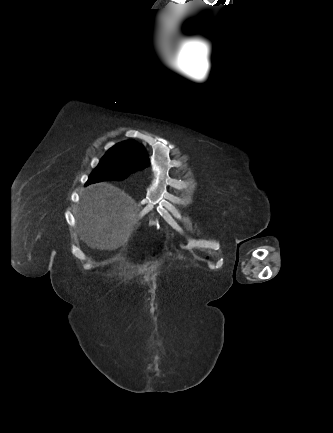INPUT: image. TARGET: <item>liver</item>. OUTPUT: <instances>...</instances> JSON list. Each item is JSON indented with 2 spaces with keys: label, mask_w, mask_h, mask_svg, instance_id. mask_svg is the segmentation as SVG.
I'll return each instance as SVG.
<instances>
[{
  "label": "liver",
  "mask_w": 333,
  "mask_h": 433,
  "mask_svg": "<svg viewBox=\"0 0 333 433\" xmlns=\"http://www.w3.org/2000/svg\"><path fill=\"white\" fill-rule=\"evenodd\" d=\"M138 216L131 196L109 183H98L81 194L77 229L90 248L113 251L129 240Z\"/></svg>",
  "instance_id": "liver-1"
}]
</instances>
